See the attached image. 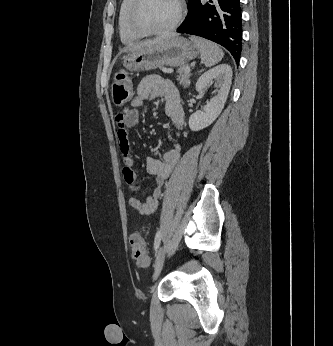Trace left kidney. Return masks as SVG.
I'll return each mask as SVG.
<instances>
[{
    "label": "left kidney",
    "instance_id": "left-kidney-1",
    "mask_svg": "<svg viewBox=\"0 0 333 346\" xmlns=\"http://www.w3.org/2000/svg\"><path fill=\"white\" fill-rule=\"evenodd\" d=\"M213 81L218 88L217 95L203 107L202 111H197L189 117V128L192 131L208 127L222 112L232 82L231 67L228 64H220L203 73L196 83V90L198 92L205 90Z\"/></svg>",
    "mask_w": 333,
    "mask_h": 346
}]
</instances>
